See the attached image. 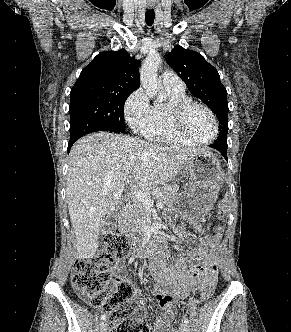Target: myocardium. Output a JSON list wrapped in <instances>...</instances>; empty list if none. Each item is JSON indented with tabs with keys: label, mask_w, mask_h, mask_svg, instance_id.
I'll list each match as a JSON object with an SVG mask.
<instances>
[{
	"label": "myocardium",
	"mask_w": 291,
	"mask_h": 332,
	"mask_svg": "<svg viewBox=\"0 0 291 332\" xmlns=\"http://www.w3.org/2000/svg\"><path fill=\"white\" fill-rule=\"evenodd\" d=\"M194 108H201L204 111H206L213 122L214 134H213L212 138L207 141L196 140L187 131V127H186L187 116H188L189 112ZM172 119H173V124H174L176 131L183 138H185L186 140H188L189 142H191L194 145H209V144L213 143L216 140V138L218 137L219 125H218L217 118H216L214 112L207 105H205L203 103L193 101V100H187V101H183V102L176 104L172 109Z\"/></svg>",
	"instance_id": "f54148a6"
}]
</instances>
